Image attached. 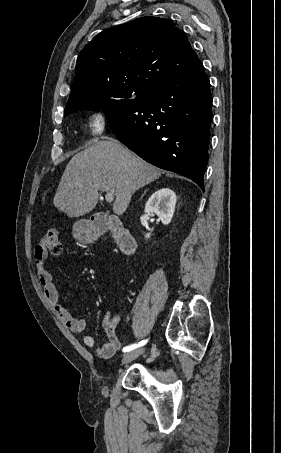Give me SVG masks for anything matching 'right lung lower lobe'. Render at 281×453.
Wrapping results in <instances>:
<instances>
[{
    "label": "right lung lower lobe",
    "instance_id": "98d812e1",
    "mask_svg": "<svg viewBox=\"0 0 281 453\" xmlns=\"http://www.w3.org/2000/svg\"><path fill=\"white\" fill-rule=\"evenodd\" d=\"M211 105L210 82L198 59L175 78L101 109L113 133L130 150L204 190Z\"/></svg>",
    "mask_w": 281,
    "mask_h": 453
}]
</instances>
